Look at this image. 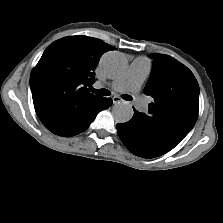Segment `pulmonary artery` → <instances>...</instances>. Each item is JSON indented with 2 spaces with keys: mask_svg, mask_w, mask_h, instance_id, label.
<instances>
[{
  "mask_svg": "<svg viewBox=\"0 0 223 223\" xmlns=\"http://www.w3.org/2000/svg\"><path fill=\"white\" fill-rule=\"evenodd\" d=\"M147 63L142 58H137L128 71L114 80L111 87L120 92H129L134 98V105L140 110L146 108L144 100L138 96L141 85L146 77Z\"/></svg>",
  "mask_w": 223,
  "mask_h": 223,
  "instance_id": "e3ab8cb5",
  "label": "pulmonary artery"
}]
</instances>
